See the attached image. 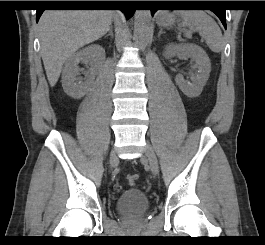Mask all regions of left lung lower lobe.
I'll list each match as a JSON object with an SVG mask.
<instances>
[{"mask_svg":"<svg viewBox=\"0 0 265 245\" xmlns=\"http://www.w3.org/2000/svg\"><path fill=\"white\" fill-rule=\"evenodd\" d=\"M196 4H197V1H166V2H162L161 5L174 6V7H186V6H194ZM156 10L157 9L151 10L152 15L154 14ZM211 11H213L219 17L222 24L226 28V10L218 8V9H212Z\"/></svg>","mask_w":265,"mask_h":245,"instance_id":"1","label":"left lung lower lobe"}]
</instances>
